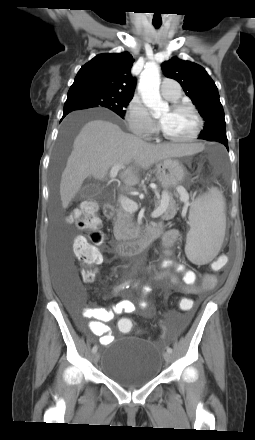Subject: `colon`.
I'll use <instances>...</instances> for the list:
<instances>
[{
	"mask_svg": "<svg viewBox=\"0 0 255 440\" xmlns=\"http://www.w3.org/2000/svg\"><path fill=\"white\" fill-rule=\"evenodd\" d=\"M71 221L87 233V237L78 236L75 238L74 252L77 258L88 266L82 278L84 281L90 282L95 276V266L102 262V254L98 247L105 242V235L100 230L101 220L97 215L96 204L92 201L83 202L81 207L72 215ZM206 277H211V275ZM178 303L182 311L195 310L193 298H179ZM118 328L123 333L130 332L133 328L132 319H120Z\"/></svg>",
	"mask_w": 255,
	"mask_h": 440,
	"instance_id": "5ec220e1",
	"label": "colon"
}]
</instances>
